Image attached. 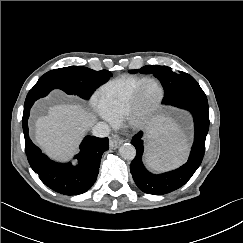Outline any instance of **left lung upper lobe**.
Returning <instances> with one entry per match:
<instances>
[{
    "label": "left lung upper lobe",
    "instance_id": "5c2ea615",
    "mask_svg": "<svg viewBox=\"0 0 243 243\" xmlns=\"http://www.w3.org/2000/svg\"><path fill=\"white\" fill-rule=\"evenodd\" d=\"M142 73L154 74L164 88L163 103L187 91L200 88L198 82L185 72L176 73L170 67L147 65L140 69ZM131 72H137L132 70Z\"/></svg>",
    "mask_w": 243,
    "mask_h": 243
}]
</instances>
